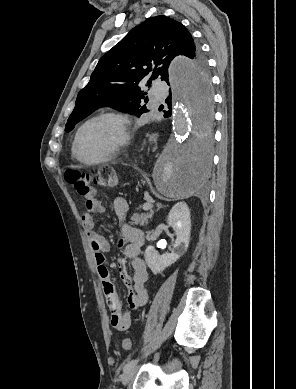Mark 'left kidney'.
<instances>
[{"label": "left kidney", "instance_id": "5707ae66", "mask_svg": "<svg viewBox=\"0 0 296 389\" xmlns=\"http://www.w3.org/2000/svg\"><path fill=\"white\" fill-rule=\"evenodd\" d=\"M167 223L173 228L176 235L171 252L159 255L153 246H148L144 254L148 267L155 275L162 273L167 267L175 263L188 249L191 219L187 204L179 202L174 205L168 214Z\"/></svg>", "mask_w": 296, "mask_h": 389}]
</instances>
